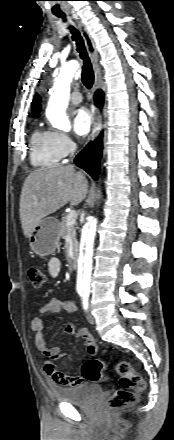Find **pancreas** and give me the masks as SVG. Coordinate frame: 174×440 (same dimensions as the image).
Segmentation results:
<instances>
[{
    "instance_id": "pancreas-1",
    "label": "pancreas",
    "mask_w": 174,
    "mask_h": 440,
    "mask_svg": "<svg viewBox=\"0 0 174 440\" xmlns=\"http://www.w3.org/2000/svg\"><path fill=\"white\" fill-rule=\"evenodd\" d=\"M67 217H63L61 219V222L59 223V235L63 239H66L67 237H70L73 241V246H77V239H76V226L77 223H73L72 225L66 224Z\"/></svg>"
}]
</instances>
